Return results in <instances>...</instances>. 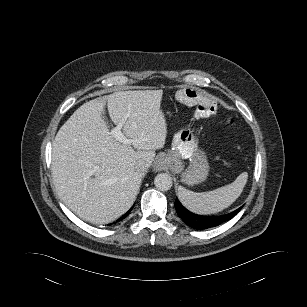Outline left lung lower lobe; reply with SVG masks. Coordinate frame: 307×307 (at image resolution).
I'll return each instance as SVG.
<instances>
[{"mask_svg":"<svg viewBox=\"0 0 307 307\" xmlns=\"http://www.w3.org/2000/svg\"><path fill=\"white\" fill-rule=\"evenodd\" d=\"M175 208L179 217L190 227L194 229H208L211 227L218 226L230 219H232L242 207L238 208L237 210L222 216H199L196 214L191 213L187 209H185L178 199H176Z\"/></svg>","mask_w":307,"mask_h":307,"instance_id":"1","label":"left lung lower lobe"}]
</instances>
